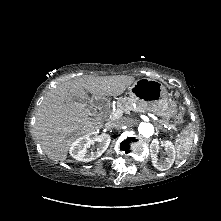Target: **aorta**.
<instances>
[{"label":"aorta","mask_w":221,"mask_h":221,"mask_svg":"<svg viewBox=\"0 0 221 221\" xmlns=\"http://www.w3.org/2000/svg\"><path fill=\"white\" fill-rule=\"evenodd\" d=\"M139 133L145 137L149 138L154 134V126L151 123L142 122L138 127Z\"/></svg>","instance_id":"1"}]
</instances>
